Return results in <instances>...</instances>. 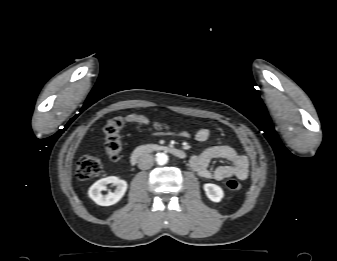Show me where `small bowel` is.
<instances>
[{"label":"small bowel","instance_id":"obj_1","mask_svg":"<svg viewBox=\"0 0 337 261\" xmlns=\"http://www.w3.org/2000/svg\"><path fill=\"white\" fill-rule=\"evenodd\" d=\"M128 122L147 124L149 119L143 115L130 114L126 116ZM183 137H190L189 132L180 133ZM210 136L207 128H200L194 133V138L198 142H205ZM214 159H225L231 164L220 165L215 169H210L209 165ZM190 167L204 179H215L222 181L230 177H237L245 180L249 174V161L246 155L239 153L233 147L227 145L212 146L199 154L192 155L189 160Z\"/></svg>","mask_w":337,"mask_h":261}]
</instances>
